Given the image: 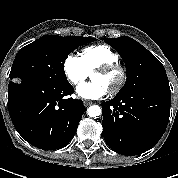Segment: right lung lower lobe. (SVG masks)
I'll return each instance as SVG.
<instances>
[{
    "label": "right lung lower lobe",
    "instance_id": "98d812e1",
    "mask_svg": "<svg viewBox=\"0 0 178 178\" xmlns=\"http://www.w3.org/2000/svg\"><path fill=\"white\" fill-rule=\"evenodd\" d=\"M73 92L68 81L10 82L8 110L20 136L43 150L67 145L85 112L81 100L68 97Z\"/></svg>",
    "mask_w": 178,
    "mask_h": 178
}]
</instances>
